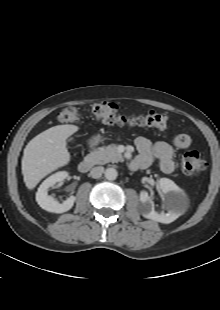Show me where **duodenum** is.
Segmentation results:
<instances>
[{
	"label": "duodenum",
	"mask_w": 220,
	"mask_h": 310,
	"mask_svg": "<svg viewBox=\"0 0 220 310\" xmlns=\"http://www.w3.org/2000/svg\"><path fill=\"white\" fill-rule=\"evenodd\" d=\"M93 165H94V159L93 158H86L79 163L78 170L81 173H87L91 170Z\"/></svg>",
	"instance_id": "obj_1"
}]
</instances>
